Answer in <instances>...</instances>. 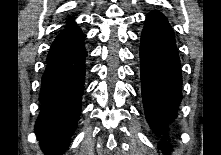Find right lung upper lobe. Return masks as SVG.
Segmentation results:
<instances>
[{
  "instance_id": "right-lung-upper-lobe-1",
  "label": "right lung upper lobe",
  "mask_w": 221,
  "mask_h": 155,
  "mask_svg": "<svg viewBox=\"0 0 221 155\" xmlns=\"http://www.w3.org/2000/svg\"><path fill=\"white\" fill-rule=\"evenodd\" d=\"M72 23H74V21L71 19L67 21V24H72Z\"/></svg>"
}]
</instances>
